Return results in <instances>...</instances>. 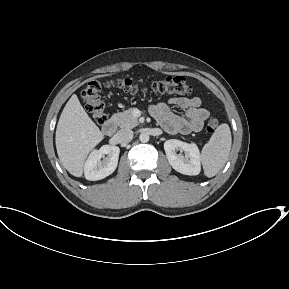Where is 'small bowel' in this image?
Masks as SVG:
<instances>
[{
	"label": "small bowel",
	"instance_id": "small-bowel-1",
	"mask_svg": "<svg viewBox=\"0 0 289 289\" xmlns=\"http://www.w3.org/2000/svg\"><path fill=\"white\" fill-rule=\"evenodd\" d=\"M199 97H173L166 102H158L150 107V113L165 131L171 134H189L202 129L209 111L201 106ZM170 105L185 111V117L175 115Z\"/></svg>",
	"mask_w": 289,
	"mask_h": 289
}]
</instances>
